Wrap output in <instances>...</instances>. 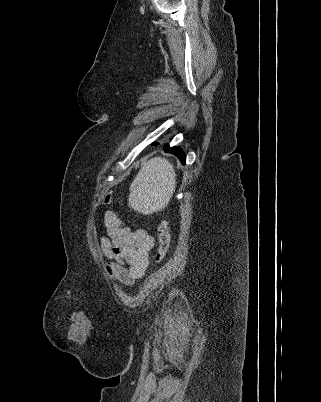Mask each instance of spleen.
Segmentation results:
<instances>
[{
    "label": "spleen",
    "mask_w": 321,
    "mask_h": 402,
    "mask_svg": "<svg viewBox=\"0 0 321 402\" xmlns=\"http://www.w3.org/2000/svg\"><path fill=\"white\" fill-rule=\"evenodd\" d=\"M175 187L173 165L167 159L154 157L146 162L130 185L129 206L142 214L159 211L167 206Z\"/></svg>",
    "instance_id": "spleen-1"
}]
</instances>
